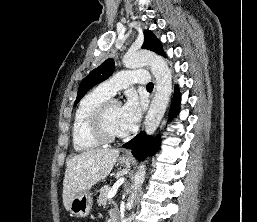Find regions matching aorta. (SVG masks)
Wrapping results in <instances>:
<instances>
[{"label":"aorta","instance_id":"1","mask_svg":"<svg viewBox=\"0 0 257 222\" xmlns=\"http://www.w3.org/2000/svg\"><path fill=\"white\" fill-rule=\"evenodd\" d=\"M123 64L127 68L150 66L156 79V92L145 118V131L151 135L158 128L172 94L171 70L161 56L146 50L128 51L123 58ZM145 174L146 165L142 162L134 176L132 191L126 203L127 208H132L137 191L144 181Z\"/></svg>","mask_w":257,"mask_h":222}]
</instances>
